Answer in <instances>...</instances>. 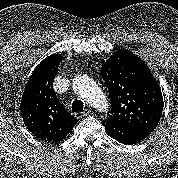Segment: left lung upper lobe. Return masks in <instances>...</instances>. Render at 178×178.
<instances>
[{
  "label": "left lung upper lobe",
  "mask_w": 178,
  "mask_h": 178,
  "mask_svg": "<svg viewBox=\"0 0 178 178\" xmlns=\"http://www.w3.org/2000/svg\"><path fill=\"white\" fill-rule=\"evenodd\" d=\"M100 72L112 106L107 119L154 130L164 103L161 89L145 62L128 50H118Z\"/></svg>",
  "instance_id": "left-lung-upper-lobe-1"
}]
</instances>
